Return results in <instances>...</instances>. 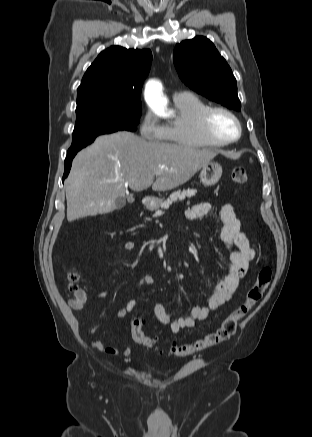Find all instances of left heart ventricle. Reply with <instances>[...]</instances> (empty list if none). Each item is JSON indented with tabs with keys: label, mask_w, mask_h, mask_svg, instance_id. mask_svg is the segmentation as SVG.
<instances>
[{
	"label": "left heart ventricle",
	"mask_w": 312,
	"mask_h": 437,
	"mask_svg": "<svg viewBox=\"0 0 312 437\" xmlns=\"http://www.w3.org/2000/svg\"><path fill=\"white\" fill-rule=\"evenodd\" d=\"M210 129L216 137L223 140L233 138L237 134V126L234 120L221 112H217L211 117Z\"/></svg>",
	"instance_id": "1"
}]
</instances>
